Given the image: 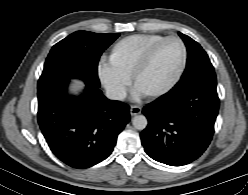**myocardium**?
<instances>
[{"mask_svg": "<svg viewBox=\"0 0 248 195\" xmlns=\"http://www.w3.org/2000/svg\"><path fill=\"white\" fill-rule=\"evenodd\" d=\"M170 40L179 41L181 46H182V49H183L182 62H181V65L179 67L178 72L176 73L175 77L162 89H159L156 91H150V92H141L138 88V83H139L141 76L150 68V66L152 65V63H153L158 51L161 49V47ZM187 59H188L187 46H186L185 42L180 37H178L176 35H171V36L164 38L148 53V55L146 56L144 61L140 64V66L137 68V70L133 74V78H132L133 89L135 91L139 92L140 94H142L143 96L148 97V98H158V97H161V96L167 94L180 81V79H181V77L185 71L186 65H187Z\"/></svg>", "mask_w": 248, "mask_h": 195, "instance_id": "myocardium-1", "label": "myocardium"}]
</instances>
